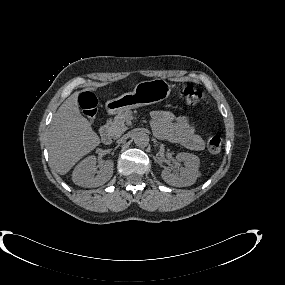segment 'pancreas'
Segmentation results:
<instances>
[{"mask_svg": "<svg viewBox=\"0 0 285 285\" xmlns=\"http://www.w3.org/2000/svg\"><path fill=\"white\" fill-rule=\"evenodd\" d=\"M132 118V111H126L116 115L107 126V132L112 138H118L127 130L125 122Z\"/></svg>", "mask_w": 285, "mask_h": 285, "instance_id": "cf45deb5", "label": "pancreas"}]
</instances>
